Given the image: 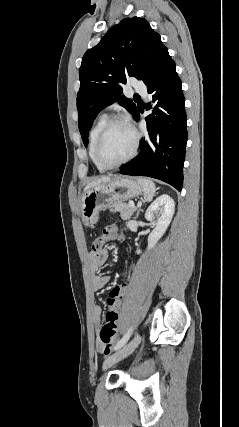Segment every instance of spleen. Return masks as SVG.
<instances>
[{"mask_svg":"<svg viewBox=\"0 0 239 427\" xmlns=\"http://www.w3.org/2000/svg\"><path fill=\"white\" fill-rule=\"evenodd\" d=\"M138 183L143 188L144 200L146 202L152 201V199H153V197L155 195V191H156V187H155L154 182H152L148 178H138Z\"/></svg>","mask_w":239,"mask_h":427,"instance_id":"1","label":"spleen"}]
</instances>
